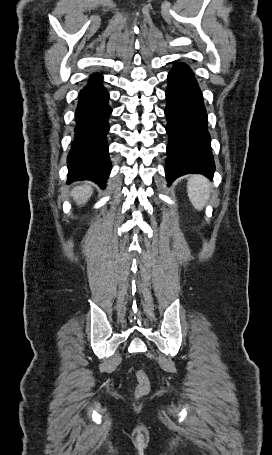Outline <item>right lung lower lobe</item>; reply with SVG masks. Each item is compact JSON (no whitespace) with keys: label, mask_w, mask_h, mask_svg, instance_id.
Returning <instances> with one entry per match:
<instances>
[{"label":"right lung lower lobe","mask_w":272,"mask_h":455,"mask_svg":"<svg viewBox=\"0 0 272 455\" xmlns=\"http://www.w3.org/2000/svg\"><path fill=\"white\" fill-rule=\"evenodd\" d=\"M101 75H91L89 83L79 93L75 113V138L68 154V183L92 180L104 186L111 170L106 134L109 93L101 84Z\"/></svg>","instance_id":"1"}]
</instances>
